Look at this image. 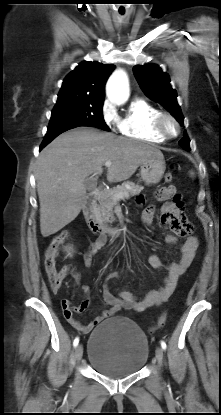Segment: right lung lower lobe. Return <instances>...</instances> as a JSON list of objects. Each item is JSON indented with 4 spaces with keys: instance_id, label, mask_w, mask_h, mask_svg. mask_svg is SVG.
I'll return each instance as SVG.
<instances>
[{
    "instance_id": "1",
    "label": "right lung lower lobe",
    "mask_w": 221,
    "mask_h": 415,
    "mask_svg": "<svg viewBox=\"0 0 221 415\" xmlns=\"http://www.w3.org/2000/svg\"><path fill=\"white\" fill-rule=\"evenodd\" d=\"M75 127H79V126H75V125H71V126H63V127H52L47 129V134L44 137V140L40 146V150L45 147L48 143H50L54 138H56L59 134L75 128Z\"/></svg>"
}]
</instances>
